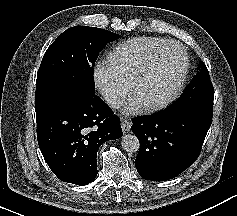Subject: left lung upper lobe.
<instances>
[{
  "instance_id": "5c2ea615",
  "label": "left lung upper lobe",
  "mask_w": 237,
  "mask_h": 216,
  "mask_svg": "<svg viewBox=\"0 0 237 216\" xmlns=\"http://www.w3.org/2000/svg\"><path fill=\"white\" fill-rule=\"evenodd\" d=\"M199 72L185 88L181 97L169 108L187 109L209 117L213 114L214 91L209 72L203 62H200Z\"/></svg>"
}]
</instances>
